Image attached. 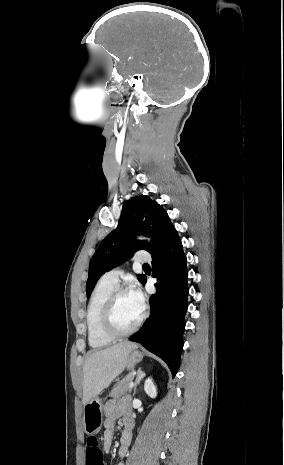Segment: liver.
Masks as SVG:
<instances>
[{
	"label": "liver",
	"instance_id": "obj_1",
	"mask_svg": "<svg viewBox=\"0 0 284 465\" xmlns=\"http://www.w3.org/2000/svg\"><path fill=\"white\" fill-rule=\"evenodd\" d=\"M138 349L135 343H118L103 351L89 353L83 365V405L100 395L113 379L123 373L130 351Z\"/></svg>",
	"mask_w": 284,
	"mask_h": 465
}]
</instances>
